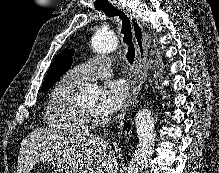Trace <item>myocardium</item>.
Segmentation results:
<instances>
[{"label":"myocardium","instance_id":"myocardium-1","mask_svg":"<svg viewBox=\"0 0 219 173\" xmlns=\"http://www.w3.org/2000/svg\"><path fill=\"white\" fill-rule=\"evenodd\" d=\"M79 114L87 121L94 117V113L88 112L80 104H77Z\"/></svg>","mask_w":219,"mask_h":173}]
</instances>
